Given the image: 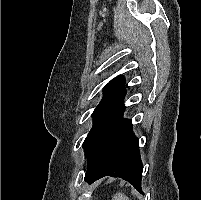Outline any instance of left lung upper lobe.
Listing matches in <instances>:
<instances>
[{
	"mask_svg": "<svg viewBox=\"0 0 201 200\" xmlns=\"http://www.w3.org/2000/svg\"><path fill=\"white\" fill-rule=\"evenodd\" d=\"M103 92V99L92 113L94 124L92 129L89 131L88 136L83 142L84 151L87 150L90 141L92 140L104 120L123 101L126 95L124 77L118 76L111 80L104 87Z\"/></svg>",
	"mask_w": 201,
	"mask_h": 200,
	"instance_id": "5c2ea615",
	"label": "left lung upper lobe"
}]
</instances>
